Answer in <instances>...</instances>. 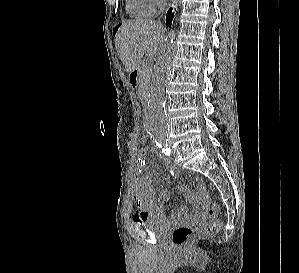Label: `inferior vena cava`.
I'll list each match as a JSON object with an SVG mask.
<instances>
[{
	"instance_id": "obj_1",
	"label": "inferior vena cava",
	"mask_w": 299,
	"mask_h": 273,
	"mask_svg": "<svg viewBox=\"0 0 299 273\" xmlns=\"http://www.w3.org/2000/svg\"><path fill=\"white\" fill-rule=\"evenodd\" d=\"M165 6H166V0H161L160 9H161L162 12L164 11ZM159 24H160V22H159Z\"/></svg>"
}]
</instances>
